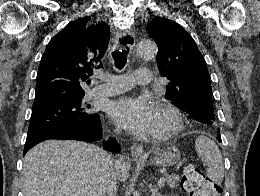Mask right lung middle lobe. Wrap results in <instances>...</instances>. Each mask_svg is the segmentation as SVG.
Here are the masks:
<instances>
[{
	"mask_svg": "<svg viewBox=\"0 0 260 196\" xmlns=\"http://www.w3.org/2000/svg\"><path fill=\"white\" fill-rule=\"evenodd\" d=\"M83 97L63 95L33 105L26 143L93 122L96 114L82 104Z\"/></svg>",
	"mask_w": 260,
	"mask_h": 196,
	"instance_id": "right-lung-middle-lobe-1",
	"label": "right lung middle lobe"
}]
</instances>
